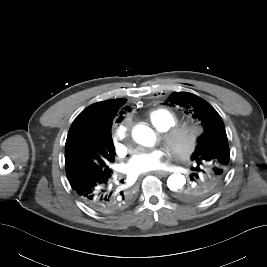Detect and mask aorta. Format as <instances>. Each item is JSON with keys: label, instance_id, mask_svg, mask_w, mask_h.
<instances>
[{"label": "aorta", "instance_id": "aorta-1", "mask_svg": "<svg viewBox=\"0 0 267 267\" xmlns=\"http://www.w3.org/2000/svg\"><path fill=\"white\" fill-rule=\"evenodd\" d=\"M133 139L140 145L151 147L155 144V134L151 128L145 125H137L132 131ZM186 184V178L181 173H173L167 180V186L171 191L177 192Z\"/></svg>", "mask_w": 267, "mask_h": 267}]
</instances>
